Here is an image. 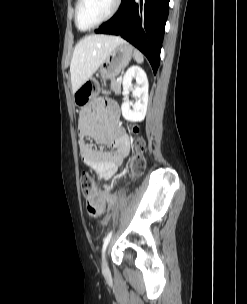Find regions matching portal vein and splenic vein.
I'll return each mask as SVG.
<instances>
[{"label": "portal vein and splenic vein", "mask_w": 247, "mask_h": 304, "mask_svg": "<svg viewBox=\"0 0 247 304\" xmlns=\"http://www.w3.org/2000/svg\"><path fill=\"white\" fill-rule=\"evenodd\" d=\"M121 80H122V77L117 78V81H121Z\"/></svg>", "instance_id": "18ae733b"}]
</instances>
